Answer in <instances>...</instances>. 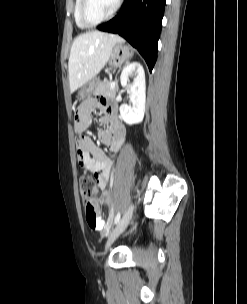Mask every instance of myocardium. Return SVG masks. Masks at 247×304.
Segmentation results:
<instances>
[{
	"label": "myocardium",
	"mask_w": 247,
	"mask_h": 304,
	"mask_svg": "<svg viewBox=\"0 0 247 304\" xmlns=\"http://www.w3.org/2000/svg\"><path fill=\"white\" fill-rule=\"evenodd\" d=\"M122 3H123V0H118L114 10L107 17H105L97 22H91V21H89V19L87 18V15H86L89 0H81L80 9H79L80 21L85 27H88V28L96 27V26L114 18L116 16V14L118 13V11L120 10Z\"/></svg>",
	"instance_id": "obj_1"
}]
</instances>
